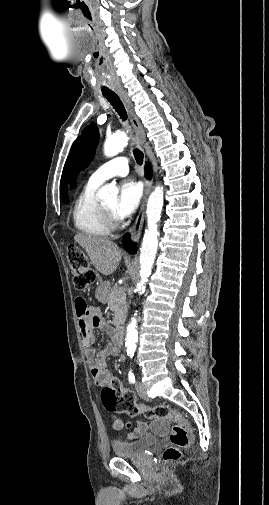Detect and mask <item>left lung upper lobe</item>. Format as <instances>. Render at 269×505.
<instances>
[{"mask_svg":"<svg viewBox=\"0 0 269 505\" xmlns=\"http://www.w3.org/2000/svg\"><path fill=\"white\" fill-rule=\"evenodd\" d=\"M98 137V128L92 123L82 131L81 136L72 145L70 163L72 164L71 167L73 168L75 177L70 178V183L73 187L76 185V176L80 170H83L92 160L98 143Z\"/></svg>","mask_w":269,"mask_h":505,"instance_id":"obj_1","label":"left lung upper lobe"}]
</instances>
